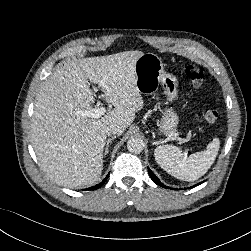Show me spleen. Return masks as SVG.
Wrapping results in <instances>:
<instances>
[{
	"label": "spleen",
	"instance_id": "obj_1",
	"mask_svg": "<svg viewBox=\"0 0 251 251\" xmlns=\"http://www.w3.org/2000/svg\"><path fill=\"white\" fill-rule=\"evenodd\" d=\"M220 146L219 138H214L206 150L184 158L182 151L172 145L158 146L154 150L158 165L177 179L195 181L202 177L214 163Z\"/></svg>",
	"mask_w": 251,
	"mask_h": 251
}]
</instances>
